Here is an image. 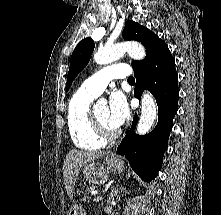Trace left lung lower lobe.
Masks as SVG:
<instances>
[{
	"label": "left lung lower lobe",
	"instance_id": "obj_1",
	"mask_svg": "<svg viewBox=\"0 0 221 215\" xmlns=\"http://www.w3.org/2000/svg\"><path fill=\"white\" fill-rule=\"evenodd\" d=\"M134 75V96L140 98L144 89L153 94L158 105V124L149 134L136 135L134 129L138 116L135 115L131 129L117 151L129 160L132 169L142 179L149 182L161 168L173 118L178 110V75L168 46L163 44L144 67L134 70Z\"/></svg>",
	"mask_w": 221,
	"mask_h": 215
}]
</instances>
